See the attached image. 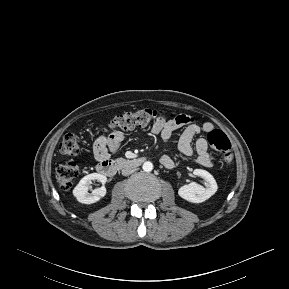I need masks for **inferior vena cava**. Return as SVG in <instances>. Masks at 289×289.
<instances>
[{
    "mask_svg": "<svg viewBox=\"0 0 289 289\" xmlns=\"http://www.w3.org/2000/svg\"><path fill=\"white\" fill-rule=\"evenodd\" d=\"M137 170L136 167L128 166L122 169V175L123 176H128L132 173H134Z\"/></svg>",
    "mask_w": 289,
    "mask_h": 289,
    "instance_id": "602c4592",
    "label": "inferior vena cava"
}]
</instances>
